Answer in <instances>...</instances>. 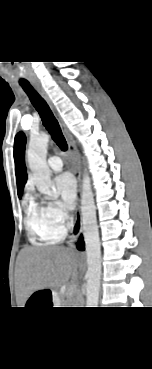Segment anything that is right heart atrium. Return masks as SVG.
I'll return each instance as SVG.
<instances>
[{
	"instance_id": "d8ad5b80",
	"label": "right heart atrium",
	"mask_w": 152,
	"mask_h": 369,
	"mask_svg": "<svg viewBox=\"0 0 152 369\" xmlns=\"http://www.w3.org/2000/svg\"><path fill=\"white\" fill-rule=\"evenodd\" d=\"M40 206L53 231L64 233L68 216L59 204L55 201H44Z\"/></svg>"
}]
</instances>
